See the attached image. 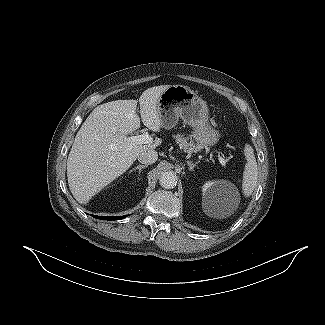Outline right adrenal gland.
Returning <instances> with one entry per match:
<instances>
[{"label": "right adrenal gland", "instance_id": "right-adrenal-gland-1", "mask_svg": "<svg viewBox=\"0 0 325 325\" xmlns=\"http://www.w3.org/2000/svg\"><path fill=\"white\" fill-rule=\"evenodd\" d=\"M147 167H148V165H138L137 167L131 169V170H130V173H131L132 171L138 170V172H139V174H140L141 171H142V169L147 168Z\"/></svg>", "mask_w": 325, "mask_h": 325}]
</instances>
